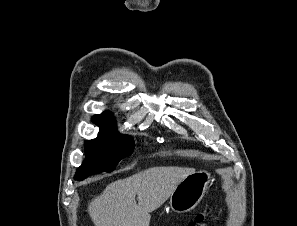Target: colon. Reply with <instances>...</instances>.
<instances>
[{"mask_svg":"<svg viewBox=\"0 0 297 226\" xmlns=\"http://www.w3.org/2000/svg\"><path fill=\"white\" fill-rule=\"evenodd\" d=\"M211 216V209H206L200 213H198L187 226H207L206 222L208 218Z\"/></svg>","mask_w":297,"mask_h":226,"instance_id":"obj_1","label":"colon"}]
</instances>
